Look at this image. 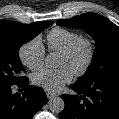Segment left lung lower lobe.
Masks as SVG:
<instances>
[{"mask_svg": "<svg viewBox=\"0 0 119 119\" xmlns=\"http://www.w3.org/2000/svg\"><path fill=\"white\" fill-rule=\"evenodd\" d=\"M76 95L63 94L65 102L60 119H119V82L75 83Z\"/></svg>", "mask_w": 119, "mask_h": 119, "instance_id": "0a47b994", "label": "left lung lower lobe"}]
</instances>
